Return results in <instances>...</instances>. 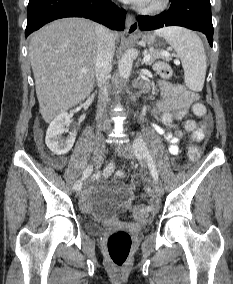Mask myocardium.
Returning a JSON list of instances; mask_svg holds the SVG:
<instances>
[{
	"instance_id": "f54148a6",
	"label": "myocardium",
	"mask_w": 233,
	"mask_h": 284,
	"mask_svg": "<svg viewBox=\"0 0 233 284\" xmlns=\"http://www.w3.org/2000/svg\"><path fill=\"white\" fill-rule=\"evenodd\" d=\"M168 4L169 0H151L143 4L139 11L143 14L154 15L165 10Z\"/></svg>"
}]
</instances>
